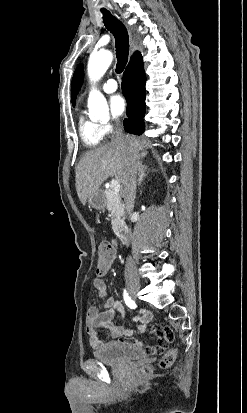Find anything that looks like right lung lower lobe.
<instances>
[{
	"instance_id": "1",
	"label": "right lung lower lobe",
	"mask_w": 247,
	"mask_h": 413,
	"mask_svg": "<svg viewBox=\"0 0 247 413\" xmlns=\"http://www.w3.org/2000/svg\"><path fill=\"white\" fill-rule=\"evenodd\" d=\"M145 82L144 69L134 74L123 75L122 78V92L127 100L128 116V119L124 120V129L136 135H141L145 128Z\"/></svg>"
}]
</instances>
